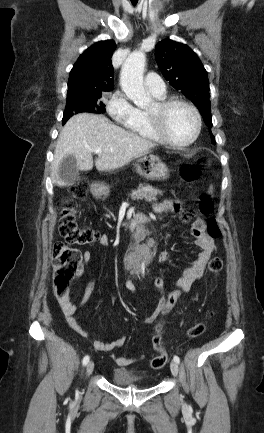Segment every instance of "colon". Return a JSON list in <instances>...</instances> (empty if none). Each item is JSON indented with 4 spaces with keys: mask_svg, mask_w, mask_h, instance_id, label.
<instances>
[{
    "mask_svg": "<svg viewBox=\"0 0 264 433\" xmlns=\"http://www.w3.org/2000/svg\"><path fill=\"white\" fill-rule=\"evenodd\" d=\"M209 166L208 160H201L197 165H185L179 169L180 177L191 182L198 179L203 171ZM87 186L84 182H78L71 188L73 199H83L87 195ZM198 210L204 216L212 215L214 204L210 196L203 193L198 200ZM191 213H182L181 220L188 221L192 218ZM206 229L208 234L217 238L221 234L220 227L214 217H210L207 221ZM59 231L64 240L58 243L53 250V267H54V292L60 298L69 293V286L74 279L79 264L81 255L74 246H85L92 244L100 239L99 233L93 228L81 226L78 222V209L76 204L67 200L63 203L61 216L59 221ZM223 261L220 257H212L208 263L210 272H218L222 269ZM181 296L180 290H173L165 298L159 309L160 319L155 327L153 336V347L157 354L151 359L150 365L154 369L162 368L167 362V354L162 346L163 330L166 317L173 311ZM206 325L204 322H198L191 326L187 334L190 338H196L202 335Z\"/></svg>",
    "mask_w": 264,
    "mask_h": 433,
    "instance_id": "1",
    "label": "colon"
}]
</instances>
